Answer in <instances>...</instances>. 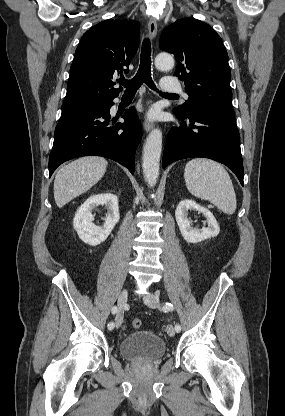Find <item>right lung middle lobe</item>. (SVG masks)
Instances as JSON below:
<instances>
[{
	"instance_id": "right-lung-middle-lobe-1",
	"label": "right lung middle lobe",
	"mask_w": 285,
	"mask_h": 416,
	"mask_svg": "<svg viewBox=\"0 0 285 416\" xmlns=\"http://www.w3.org/2000/svg\"><path fill=\"white\" fill-rule=\"evenodd\" d=\"M111 102H92V103H63L62 114L84 111L89 109L103 108L110 105Z\"/></svg>"
}]
</instances>
